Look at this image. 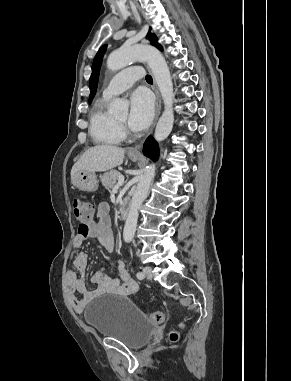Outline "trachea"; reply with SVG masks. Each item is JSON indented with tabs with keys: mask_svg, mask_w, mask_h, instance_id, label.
<instances>
[{
	"mask_svg": "<svg viewBox=\"0 0 291 381\" xmlns=\"http://www.w3.org/2000/svg\"><path fill=\"white\" fill-rule=\"evenodd\" d=\"M146 81L148 82V83H153V79H152V77L150 76V75H146Z\"/></svg>",
	"mask_w": 291,
	"mask_h": 381,
	"instance_id": "1",
	"label": "trachea"
}]
</instances>
